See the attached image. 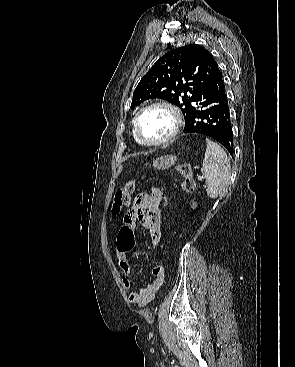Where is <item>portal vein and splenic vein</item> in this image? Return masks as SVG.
Listing matches in <instances>:
<instances>
[{
	"instance_id": "portal-vein-and-splenic-vein-1",
	"label": "portal vein and splenic vein",
	"mask_w": 295,
	"mask_h": 367,
	"mask_svg": "<svg viewBox=\"0 0 295 367\" xmlns=\"http://www.w3.org/2000/svg\"><path fill=\"white\" fill-rule=\"evenodd\" d=\"M204 178H205L204 176H202V175H198V180H199V181H201V182H202V181L204 180Z\"/></svg>"
}]
</instances>
